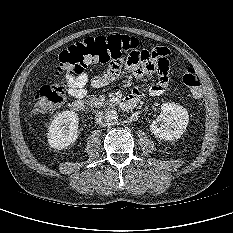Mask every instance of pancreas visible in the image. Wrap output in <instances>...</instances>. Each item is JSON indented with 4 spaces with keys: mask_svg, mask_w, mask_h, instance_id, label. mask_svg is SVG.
<instances>
[{
    "mask_svg": "<svg viewBox=\"0 0 233 233\" xmlns=\"http://www.w3.org/2000/svg\"><path fill=\"white\" fill-rule=\"evenodd\" d=\"M88 103L91 104L92 106H96V107H102L106 104L105 102L101 101L99 98H97L94 95H92L88 98Z\"/></svg>",
    "mask_w": 233,
    "mask_h": 233,
    "instance_id": "1",
    "label": "pancreas"
}]
</instances>
